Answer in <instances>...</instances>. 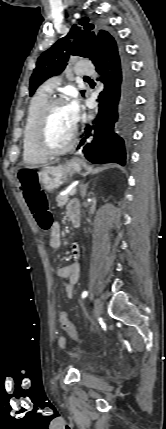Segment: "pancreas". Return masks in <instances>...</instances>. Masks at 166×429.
<instances>
[{
    "instance_id": "pancreas-1",
    "label": "pancreas",
    "mask_w": 166,
    "mask_h": 429,
    "mask_svg": "<svg viewBox=\"0 0 166 429\" xmlns=\"http://www.w3.org/2000/svg\"><path fill=\"white\" fill-rule=\"evenodd\" d=\"M57 206L62 208L69 200V194L57 196Z\"/></svg>"
}]
</instances>
